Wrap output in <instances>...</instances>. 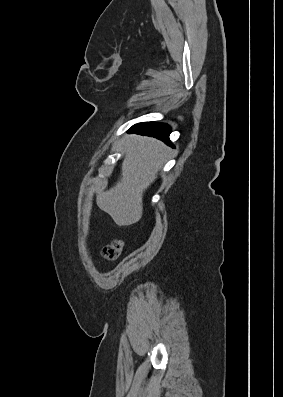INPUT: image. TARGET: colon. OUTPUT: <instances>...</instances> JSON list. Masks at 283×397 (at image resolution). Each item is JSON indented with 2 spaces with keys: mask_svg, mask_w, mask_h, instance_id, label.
Returning <instances> with one entry per match:
<instances>
[{
  "mask_svg": "<svg viewBox=\"0 0 283 397\" xmlns=\"http://www.w3.org/2000/svg\"><path fill=\"white\" fill-rule=\"evenodd\" d=\"M121 250L122 242L118 240L113 241L102 249L101 257L106 261H114L119 257Z\"/></svg>",
  "mask_w": 283,
  "mask_h": 397,
  "instance_id": "5ec220e1",
  "label": "colon"
}]
</instances>
